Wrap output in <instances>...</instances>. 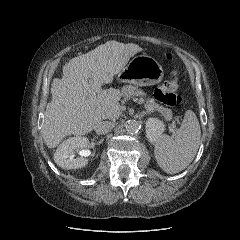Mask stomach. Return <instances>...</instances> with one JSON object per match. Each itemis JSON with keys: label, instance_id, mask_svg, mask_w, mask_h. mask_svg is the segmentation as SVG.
<instances>
[{"label": "stomach", "instance_id": "stomach-1", "mask_svg": "<svg viewBox=\"0 0 240 240\" xmlns=\"http://www.w3.org/2000/svg\"><path fill=\"white\" fill-rule=\"evenodd\" d=\"M164 77L162 66L148 55L135 56L124 69L119 72L118 79L137 86L158 84Z\"/></svg>", "mask_w": 240, "mask_h": 240}]
</instances>
